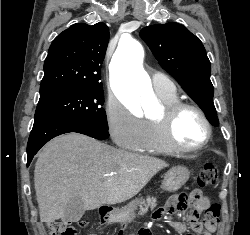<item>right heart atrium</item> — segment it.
<instances>
[{
  "label": "right heart atrium",
  "mask_w": 250,
  "mask_h": 235,
  "mask_svg": "<svg viewBox=\"0 0 250 235\" xmlns=\"http://www.w3.org/2000/svg\"><path fill=\"white\" fill-rule=\"evenodd\" d=\"M105 117L113 141L121 148L137 151L146 135L145 121L116 98H110Z\"/></svg>",
  "instance_id": "1"
}]
</instances>
